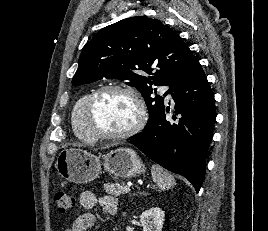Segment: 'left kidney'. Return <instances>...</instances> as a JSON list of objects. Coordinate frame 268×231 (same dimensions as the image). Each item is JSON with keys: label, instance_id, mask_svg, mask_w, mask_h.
<instances>
[{"label": "left kidney", "instance_id": "left-kidney-1", "mask_svg": "<svg viewBox=\"0 0 268 231\" xmlns=\"http://www.w3.org/2000/svg\"><path fill=\"white\" fill-rule=\"evenodd\" d=\"M165 213L159 207H153L142 212L140 222L143 231H162Z\"/></svg>", "mask_w": 268, "mask_h": 231}]
</instances>
